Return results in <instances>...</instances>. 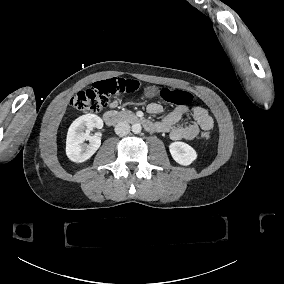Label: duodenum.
<instances>
[{"label":"duodenum","mask_w":284,"mask_h":284,"mask_svg":"<svg viewBox=\"0 0 284 284\" xmlns=\"http://www.w3.org/2000/svg\"><path fill=\"white\" fill-rule=\"evenodd\" d=\"M103 121L108 125H117L121 122H129L132 124L142 125L145 129L150 127V122L143 117L129 114H119L115 111H106L102 114Z\"/></svg>","instance_id":"410a0bca"}]
</instances>
